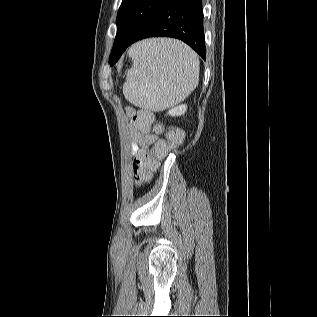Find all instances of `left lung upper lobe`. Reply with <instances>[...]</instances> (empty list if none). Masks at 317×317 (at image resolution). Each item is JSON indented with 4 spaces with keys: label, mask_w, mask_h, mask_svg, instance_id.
I'll use <instances>...</instances> for the list:
<instances>
[{
    "label": "left lung upper lobe",
    "mask_w": 317,
    "mask_h": 317,
    "mask_svg": "<svg viewBox=\"0 0 317 317\" xmlns=\"http://www.w3.org/2000/svg\"><path fill=\"white\" fill-rule=\"evenodd\" d=\"M165 0H123L117 15L114 44L130 41ZM110 64L113 65L110 56Z\"/></svg>",
    "instance_id": "1"
}]
</instances>
